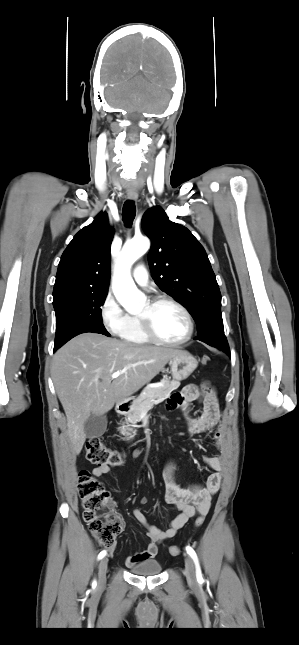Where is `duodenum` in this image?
Masks as SVG:
<instances>
[{"instance_id": "1", "label": "duodenum", "mask_w": 299, "mask_h": 645, "mask_svg": "<svg viewBox=\"0 0 299 645\" xmlns=\"http://www.w3.org/2000/svg\"><path fill=\"white\" fill-rule=\"evenodd\" d=\"M116 410H117L118 413L124 414V413H126L128 411V404L127 403H119L116 406Z\"/></svg>"}]
</instances>
